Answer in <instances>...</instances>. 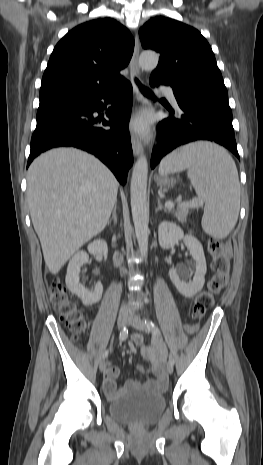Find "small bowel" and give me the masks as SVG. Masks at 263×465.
Here are the masks:
<instances>
[{
	"label": "small bowel",
	"mask_w": 263,
	"mask_h": 465,
	"mask_svg": "<svg viewBox=\"0 0 263 465\" xmlns=\"http://www.w3.org/2000/svg\"><path fill=\"white\" fill-rule=\"evenodd\" d=\"M203 323L196 322L195 325H185L186 334H202ZM132 345L139 346L141 350V355L144 360L149 364V371L155 376L154 379H150L143 383L142 385L147 389L152 390H163L167 386V376L163 368V361L166 356V350L163 344L155 339L152 342L151 346H145L143 342V337L139 334H136L132 337ZM140 371H144V367H139ZM119 376V369L116 366H108L103 380V386L106 394L114 398L118 396L121 392L126 389L134 388L140 386L141 383L136 380H130L126 383L125 387L118 389L116 385V379Z\"/></svg>",
	"instance_id": "1"
}]
</instances>
